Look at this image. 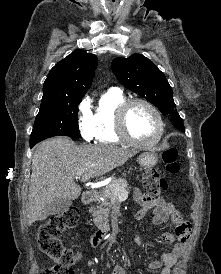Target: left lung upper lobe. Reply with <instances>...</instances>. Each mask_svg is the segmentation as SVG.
Returning a JSON list of instances; mask_svg holds the SVG:
<instances>
[{
    "label": "left lung upper lobe",
    "mask_w": 221,
    "mask_h": 274,
    "mask_svg": "<svg viewBox=\"0 0 221 274\" xmlns=\"http://www.w3.org/2000/svg\"><path fill=\"white\" fill-rule=\"evenodd\" d=\"M116 78L128 89L154 104L163 115L171 116V123L185 131L173 100L172 88L165 75L148 58L134 54L129 58H116L111 63Z\"/></svg>",
    "instance_id": "left-lung-upper-lobe-1"
}]
</instances>
